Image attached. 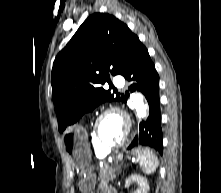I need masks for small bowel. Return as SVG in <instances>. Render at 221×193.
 Segmentation results:
<instances>
[{"label":"small bowel","instance_id":"obj_1","mask_svg":"<svg viewBox=\"0 0 221 193\" xmlns=\"http://www.w3.org/2000/svg\"><path fill=\"white\" fill-rule=\"evenodd\" d=\"M103 193H116V191H114L112 189H106L103 191Z\"/></svg>","mask_w":221,"mask_h":193}]
</instances>
